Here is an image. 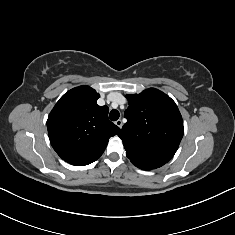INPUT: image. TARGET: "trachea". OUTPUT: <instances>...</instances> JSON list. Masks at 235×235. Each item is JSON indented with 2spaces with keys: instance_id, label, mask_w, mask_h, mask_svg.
I'll use <instances>...</instances> for the list:
<instances>
[{
  "instance_id": "obj_1",
  "label": "trachea",
  "mask_w": 235,
  "mask_h": 235,
  "mask_svg": "<svg viewBox=\"0 0 235 235\" xmlns=\"http://www.w3.org/2000/svg\"><path fill=\"white\" fill-rule=\"evenodd\" d=\"M119 116H120L119 111H118V110H115V109L112 110V111L110 112V114H109V117H110V119H111L112 121L118 120Z\"/></svg>"
}]
</instances>
